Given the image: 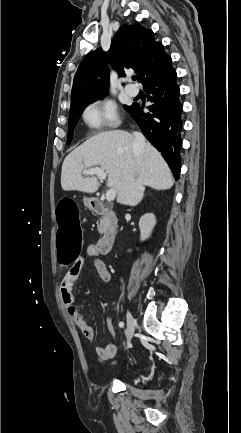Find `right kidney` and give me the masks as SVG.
Instances as JSON below:
<instances>
[{
	"label": "right kidney",
	"instance_id": "right-kidney-1",
	"mask_svg": "<svg viewBox=\"0 0 241 433\" xmlns=\"http://www.w3.org/2000/svg\"><path fill=\"white\" fill-rule=\"evenodd\" d=\"M156 224L155 215L152 213L144 214L139 220V228H140V240L144 241L148 239L152 233V230Z\"/></svg>",
	"mask_w": 241,
	"mask_h": 433
}]
</instances>
